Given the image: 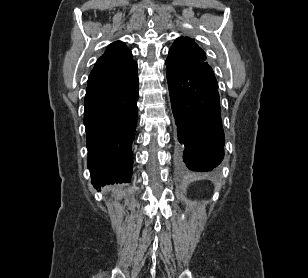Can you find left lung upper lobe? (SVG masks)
Listing matches in <instances>:
<instances>
[{
	"label": "left lung upper lobe",
	"instance_id": "5c2ea615",
	"mask_svg": "<svg viewBox=\"0 0 308 278\" xmlns=\"http://www.w3.org/2000/svg\"><path fill=\"white\" fill-rule=\"evenodd\" d=\"M205 59V52L191 38L179 37L169 50L166 65L186 68L205 62Z\"/></svg>",
	"mask_w": 308,
	"mask_h": 278
}]
</instances>
